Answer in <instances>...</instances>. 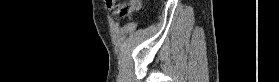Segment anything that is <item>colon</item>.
<instances>
[{
	"instance_id": "5ec220e1",
	"label": "colon",
	"mask_w": 279,
	"mask_h": 82,
	"mask_svg": "<svg viewBox=\"0 0 279 82\" xmlns=\"http://www.w3.org/2000/svg\"><path fill=\"white\" fill-rule=\"evenodd\" d=\"M111 2L113 3H117V1H114V0H111ZM127 4H132L134 5L135 7H138L141 5L142 1L141 0H130L128 2H126Z\"/></svg>"
}]
</instances>
